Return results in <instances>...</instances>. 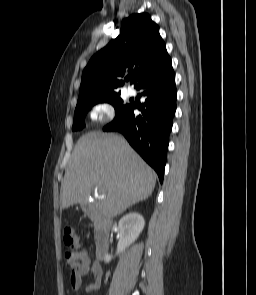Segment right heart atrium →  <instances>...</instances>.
<instances>
[{
    "mask_svg": "<svg viewBox=\"0 0 256 295\" xmlns=\"http://www.w3.org/2000/svg\"><path fill=\"white\" fill-rule=\"evenodd\" d=\"M92 113L99 120H112L115 116V109L110 103L102 101L95 104Z\"/></svg>",
    "mask_w": 256,
    "mask_h": 295,
    "instance_id": "right-heart-atrium-1",
    "label": "right heart atrium"
}]
</instances>
